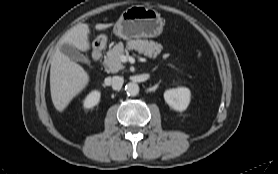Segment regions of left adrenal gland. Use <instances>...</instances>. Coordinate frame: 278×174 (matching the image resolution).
I'll list each match as a JSON object with an SVG mask.
<instances>
[{"label": "left adrenal gland", "instance_id": "left-adrenal-gland-1", "mask_svg": "<svg viewBox=\"0 0 278 174\" xmlns=\"http://www.w3.org/2000/svg\"><path fill=\"white\" fill-rule=\"evenodd\" d=\"M156 69H157V68H154V69H153V72H154Z\"/></svg>", "mask_w": 278, "mask_h": 174}]
</instances>
